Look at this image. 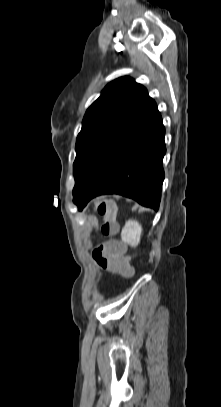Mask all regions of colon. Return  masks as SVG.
Here are the masks:
<instances>
[{
    "label": "colon",
    "mask_w": 221,
    "mask_h": 407,
    "mask_svg": "<svg viewBox=\"0 0 221 407\" xmlns=\"http://www.w3.org/2000/svg\"><path fill=\"white\" fill-rule=\"evenodd\" d=\"M98 213L103 217L101 232L104 236H113L118 232L116 221V204L109 199L99 198L96 200ZM125 252V243L120 239H105L102 245L93 251V258L97 264L112 273H119L121 279H130L136 272V267L132 265ZM117 295V292H113Z\"/></svg>",
    "instance_id": "obj_1"
}]
</instances>
